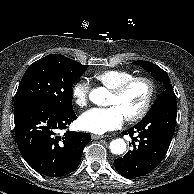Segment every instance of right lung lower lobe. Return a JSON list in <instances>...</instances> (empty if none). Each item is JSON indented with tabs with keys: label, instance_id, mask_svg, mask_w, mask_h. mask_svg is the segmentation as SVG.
Returning a JSON list of instances; mask_svg holds the SVG:
<instances>
[{
	"label": "right lung lower lobe",
	"instance_id": "1",
	"mask_svg": "<svg viewBox=\"0 0 194 194\" xmlns=\"http://www.w3.org/2000/svg\"><path fill=\"white\" fill-rule=\"evenodd\" d=\"M76 115L73 108L55 110L41 103L14 107L15 136L20 153L38 173L60 177L71 173L80 163L84 147L91 141L89 133L57 130L67 127Z\"/></svg>",
	"mask_w": 194,
	"mask_h": 194
}]
</instances>
